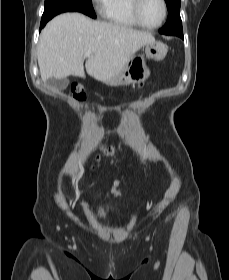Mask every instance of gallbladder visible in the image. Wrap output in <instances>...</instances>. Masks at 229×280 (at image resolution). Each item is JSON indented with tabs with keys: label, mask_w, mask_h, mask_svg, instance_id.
Returning a JSON list of instances; mask_svg holds the SVG:
<instances>
[{
	"label": "gallbladder",
	"mask_w": 229,
	"mask_h": 280,
	"mask_svg": "<svg viewBox=\"0 0 229 280\" xmlns=\"http://www.w3.org/2000/svg\"><path fill=\"white\" fill-rule=\"evenodd\" d=\"M47 83L50 87L62 91L67 88L69 84V80L67 78H62V79L50 78L48 79Z\"/></svg>",
	"instance_id": "obj_1"
}]
</instances>
